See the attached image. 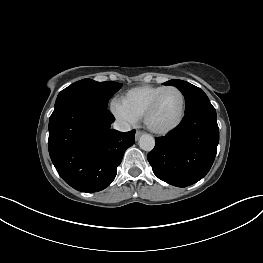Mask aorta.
I'll list each match as a JSON object with an SVG mask.
<instances>
[{
  "label": "aorta",
  "instance_id": "aorta-1",
  "mask_svg": "<svg viewBox=\"0 0 263 263\" xmlns=\"http://www.w3.org/2000/svg\"><path fill=\"white\" fill-rule=\"evenodd\" d=\"M139 146L144 151H151L155 146V139L149 134H143L139 139Z\"/></svg>",
  "mask_w": 263,
  "mask_h": 263
}]
</instances>
